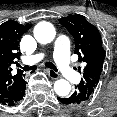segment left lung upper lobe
Returning <instances> with one entry per match:
<instances>
[{"instance_id":"left-lung-upper-lobe-1","label":"left lung upper lobe","mask_w":117,"mask_h":117,"mask_svg":"<svg viewBox=\"0 0 117 117\" xmlns=\"http://www.w3.org/2000/svg\"><path fill=\"white\" fill-rule=\"evenodd\" d=\"M75 40V53L79 56V61L85 63V67L78 71L83 74V78L78 86L83 87L91 98L96 90L105 50L102 47L101 36L98 29L90 24L82 15H70L59 19Z\"/></svg>"}]
</instances>
